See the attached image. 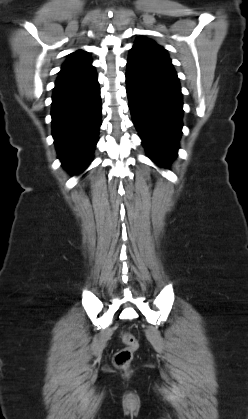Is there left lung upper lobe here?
Returning a JSON list of instances; mask_svg holds the SVG:
<instances>
[{
    "mask_svg": "<svg viewBox=\"0 0 248 419\" xmlns=\"http://www.w3.org/2000/svg\"><path fill=\"white\" fill-rule=\"evenodd\" d=\"M133 48L141 50L142 52H145L151 55H155L164 60L171 61V59L168 57L166 50L163 47L157 45L152 40L145 39V38H138Z\"/></svg>",
    "mask_w": 248,
    "mask_h": 419,
    "instance_id": "5c2ea615",
    "label": "left lung upper lobe"
}]
</instances>
